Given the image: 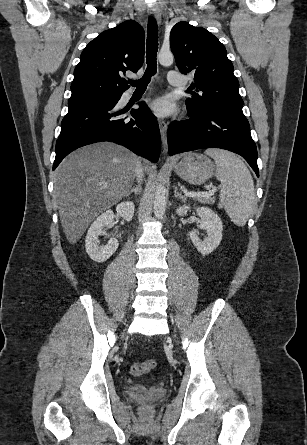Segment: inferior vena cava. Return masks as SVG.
Segmentation results:
<instances>
[{
	"label": "inferior vena cava",
	"instance_id": "obj_1",
	"mask_svg": "<svg viewBox=\"0 0 307 445\" xmlns=\"http://www.w3.org/2000/svg\"><path fill=\"white\" fill-rule=\"evenodd\" d=\"M135 172L136 176H138V182H140V180L143 178V168H141L140 162H137Z\"/></svg>",
	"mask_w": 307,
	"mask_h": 445
}]
</instances>
